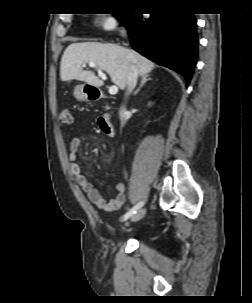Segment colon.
Returning <instances> with one entry per match:
<instances>
[{
  "label": "colon",
  "instance_id": "1",
  "mask_svg": "<svg viewBox=\"0 0 252 303\" xmlns=\"http://www.w3.org/2000/svg\"><path fill=\"white\" fill-rule=\"evenodd\" d=\"M60 121L63 124H72L73 123V116L71 111L68 108H64L60 113Z\"/></svg>",
  "mask_w": 252,
  "mask_h": 303
}]
</instances>
